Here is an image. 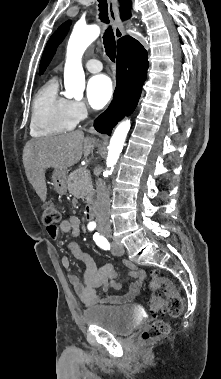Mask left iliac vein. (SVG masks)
<instances>
[{
  "label": "left iliac vein",
  "mask_w": 221,
  "mask_h": 379,
  "mask_svg": "<svg viewBox=\"0 0 221 379\" xmlns=\"http://www.w3.org/2000/svg\"><path fill=\"white\" fill-rule=\"evenodd\" d=\"M111 251L114 255L121 256L124 254V247L121 243L113 241L111 244Z\"/></svg>",
  "instance_id": "left-iliac-vein-1"
}]
</instances>
